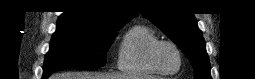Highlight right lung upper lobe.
<instances>
[{
	"mask_svg": "<svg viewBox=\"0 0 255 79\" xmlns=\"http://www.w3.org/2000/svg\"><path fill=\"white\" fill-rule=\"evenodd\" d=\"M71 8L58 18L57 27L117 31L130 18L138 14L116 8L111 9L100 1H75Z\"/></svg>",
	"mask_w": 255,
	"mask_h": 79,
	"instance_id": "cb5924a9",
	"label": "right lung upper lobe"
}]
</instances>
